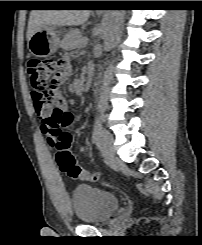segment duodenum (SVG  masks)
I'll return each instance as SVG.
<instances>
[{
  "label": "duodenum",
  "mask_w": 202,
  "mask_h": 245,
  "mask_svg": "<svg viewBox=\"0 0 202 245\" xmlns=\"http://www.w3.org/2000/svg\"><path fill=\"white\" fill-rule=\"evenodd\" d=\"M94 77V65L88 64L86 68V79H85V87H89L93 81Z\"/></svg>",
  "instance_id": "duodenum-1"
}]
</instances>
